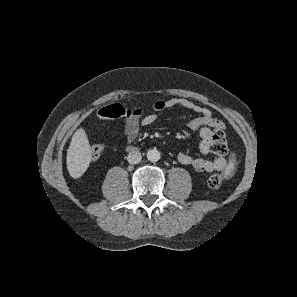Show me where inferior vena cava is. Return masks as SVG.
<instances>
[{"label": "inferior vena cava", "instance_id": "1", "mask_svg": "<svg viewBox=\"0 0 297 297\" xmlns=\"http://www.w3.org/2000/svg\"><path fill=\"white\" fill-rule=\"evenodd\" d=\"M142 156L141 153L139 151H130L128 156H127V160L130 164H137L141 161Z\"/></svg>", "mask_w": 297, "mask_h": 297}]
</instances>
